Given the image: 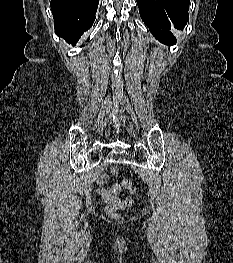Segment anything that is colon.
<instances>
[{"mask_svg":"<svg viewBox=\"0 0 233 263\" xmlns=\"http://www.w3.org/2000/svg\"><path fill=\"white\" fill-rule=\"evenodd\" d=\"M111 173L116 175L118 173L117 167L111 168ZM122 187L127 188L132 194L136 192L135 188L132 185V182L128 179L123 180L121 183ZM131 204V199L127 197L125 200L121 201L118 205H109L106 209L107 214L112 218H119V211L129 207Z\"/></svg>","mask_w":233,"mask_h":263,"instance_id":"obj_1","label":"colon"}]
</instances>
